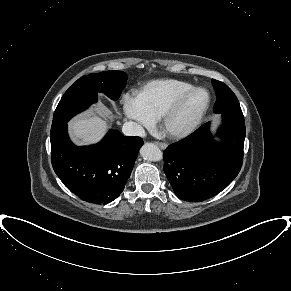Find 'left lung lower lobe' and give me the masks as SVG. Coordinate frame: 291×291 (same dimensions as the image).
I'll return each mask as SVG.
<instances>
[{"instance_id":"left-lung-lower-lobe-1","label":"left lung lower lobe","mask_w":291,"mask_h":291,"mask_svg":"<svg viewBox=\"0 0 291 291\" xmlns=\"http://www.w3.org/2000/svg\"><path fill=\"white\" fill-rule=\"evenodd\" d=\"M221 143L212 139L209 123L164 150V172L176 195L184 201H202L225 189L243 162V115L223 113Z\"/></svg>"}]
</instances>
